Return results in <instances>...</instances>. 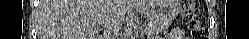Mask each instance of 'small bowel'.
<instances>
[{
    "label": "small bowel",
    "mask_w": 249,
    "mask_h": 39,
    "mask_svg": "<svg viewBox=\"0 0 249 39\" xmlns=\"http://www.w3.org/2000/svg\"><path fill=\"white\" fill-rule=\"evenodd\" d=\"M169 36L174 39H179L183 37V33L180 30H173Z\"/></svg>",
    "instance_id": "obj_1"
}]
</instances>
